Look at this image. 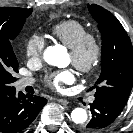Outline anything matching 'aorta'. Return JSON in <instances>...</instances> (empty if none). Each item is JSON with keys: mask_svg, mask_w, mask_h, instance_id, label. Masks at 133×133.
I'll list each match as a JSON object with an SVG mask.
<instances>
[{"mask_svg": "<svg viewBox=\"0 0 133 133\" xmlns=\"http://www.w3.org/2000/svg\"><path fill=\"white\" fill-rule=\"evenodd\" d=\"M44 60L50 65L65 67L68 60L67 52L60 45L50 46L44 52ZM71 119L75 124H84L88 119V114L83 108H75L71 112Z\"/></svg>", "mask_w": 133, "mask_h": 133, "instance_id": "1", "label": "aorta"}]
</instances>
